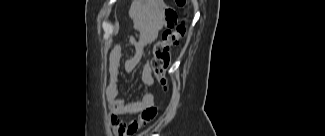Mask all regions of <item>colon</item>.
I'll use <instances>...</instances> for the list:
<instances>
[{
  "mask_svg": "<svg viewBox=\"0 0 325 136\" xmlns=\"http://www.w3.org/2000/svg\"><path fill=\"white\" fill-rule=\"evenodd\" d=\"M180 6L185 4V0H175ZM166 29L161 39L153 48L151 68L155 78L164 89H167V71L170 65V51L174 46H178L186 34V25L180 22L176 11L166 9L165 11Z\"/></svg>",
  "mask_w": 325,
  "mask_h": 136,
  "instance_id": "1",
  "label": "colon"
}]
</instances>
